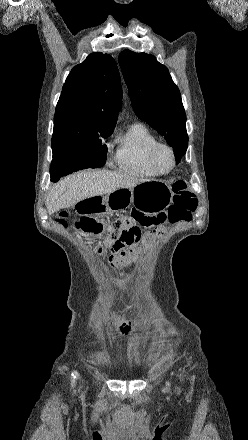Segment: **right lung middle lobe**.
<instances>
[{
    "label": "right lung middle lobe",
    "mask_w": 248,
    "mask_h": 440,
    "mask_svg": "<svg viewBox=\"0 0 248 440\" xmlns=\"http://www.w3.org/2000/svg\"><path fill=\"white\" fill-rule=\"evenodd\" d=\"M113 130L98 131L66 144L52 147L51 181L85 168H100L105 164L107 147L104 139Z\"/></svg>",
    "instance_id": "right-lung-middle-lobe-1"
}]
</instances>
